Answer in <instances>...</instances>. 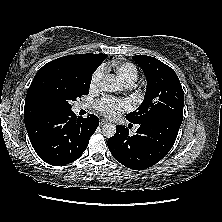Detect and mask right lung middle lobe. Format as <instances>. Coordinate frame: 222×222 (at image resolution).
I'll return each instance as SVG.
<instances>
[{
	"instance_id": "dd1d6c3e",
	"label": "right lung middle lobe",
	"mask_w": 222,
	"mask_h": 222,
	"mask_svg": "<svg viewBox=\"0 0 222 222\" xmlns=\"http://www.w3.org/2000/svg\"><path fill=\"white\" fill-rule=\"evenodd\" d=\"M93 73L90 69L53 64L36 89V96L53 112L69 111L71 101L89 93Z\"/></svg>"
}]
</instances>
